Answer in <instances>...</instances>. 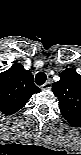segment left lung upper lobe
Segmentation results:
<instances>
[{"mask_svg":"<svg viewBox=\"0 0 81 155\" xmlns=\"http://www.w3.org/2000/svg\"><path fill=\"white\" fill-rule=\"evenodd\" d=\"M53 93L59 100L64 118L75 127L81 126V75L73 68L60 73V80L54 82Z\"/></svg>","mask_w":81,"mask_h":155,"instance_id":"left-lung-upper-lobe-1","label":"left lung upper lobe"}]
</instances>
